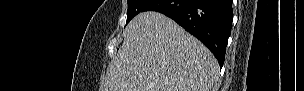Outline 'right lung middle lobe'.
I'll return each mask as SVG.
<instances>
[{
  "label": "right lung middle lobe",
  "mask_w": 304,
  "mask_h": 91,
  "mask_svg": "<svg viewBox=\"0 0 304 91\" xmlns=\"http://www.w3.org/2000/svg\"><path fill=\"white\" fill-rule=\"evenodd\" d=\"M150 2L151 0H128L127 23L142 12L144 7Z\"/></svg>",
  "instance_id": "right-lung-middle-lobe-1"
}]
</instances>
